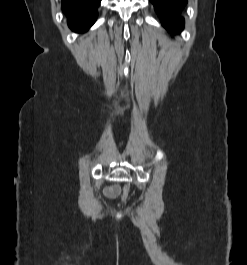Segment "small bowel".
Listing matches in <instances>:
<instances>
[{"instance_id":"1","label":"small bowel","mask_w":247,"mask_h":265,"mask_svg":"<svg viewBox=\"0 0 247 265\" xmlns=\"http://www.w3.org/2000/svg\"><path fill=\"white\" fill-rule=\"evenodd\" d=\"M104 193L106 196L110 197V198H114L116 196L119 195L120 193V188L118 185H114V186H111V187H108L104 190Z\"/></svg>"}]
</instances>
